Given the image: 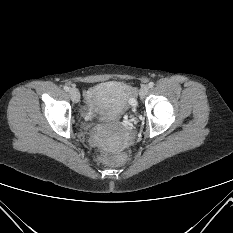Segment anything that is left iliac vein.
<instances>
[{
    "instance_id": "obj_1",
    "label": "left iliac vein",
    "mask_w": 233,
    "mask_h": 233,
    "mask_svg": "<svg viewBox=\"0 0 233 233\" xmlns=\"http://www.w3.org/2000/svg\"><path fill=\"white\" fill-rule=\"evenodd\" d=\"M149 92V87L147 85H144L141 87L139 95L141 98H144Z\"/></svg>"
}]
</instances>
